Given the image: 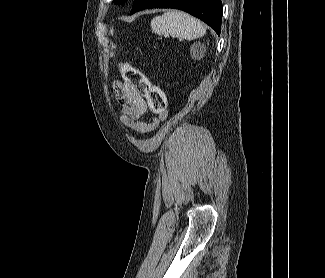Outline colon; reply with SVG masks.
Returning <instances> with one entry per match:
<instances>
[{
	"instance_id": "1",
	"label": "colon",
	"mask_w": 325,
	"mask_h": 278,
	"mask_svg": "<svg viewBox=\"0 0 325 278\" xmlns=\"http://www.w3.org/2000/svg\"><path fill=\"white\" fill-rule=\"evenodd\" d=\"M118 67L125 82L143 96L151 111L158 114L165 112L166 99L159 86L153 84L139 69L128 63H119Z\"/></svg>"
}]
</instances>
